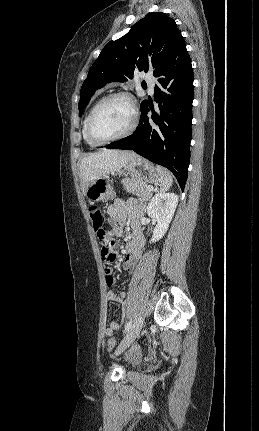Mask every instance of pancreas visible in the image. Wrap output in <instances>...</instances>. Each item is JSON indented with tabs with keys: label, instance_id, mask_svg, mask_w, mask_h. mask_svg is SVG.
Returning <instances> with one entry per match:
<instances>
[{
	"label": "pancreas",
	"instance_id": "1",
	"mask_svg": "<svg viewBox=\"0 0 259 431\" xmlns=\"http://www.w3.org/2000/svg\"><path fill=\"white\" fill-rule=\"evenodd\" d=\"M127 192L135 194L142 198V200H148L152 196V192L148 190L149 185L138 178H125L121 181Z\"/></svg>",
	"mask_w": 259,
	"mask_h": 431
}]
</instances>
